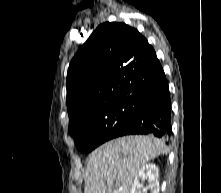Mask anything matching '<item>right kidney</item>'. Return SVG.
I'll return each instance as SVG.
<instances>
[{
    "label": "right kidney",
    "mask_w": 221,
    "mask_h": 193,
    "mask_svg": "<svg viewBox=\"0 0 221 193\" xmlns=\"http://www.w3.org/2000/svg\"><path fill=\"white\" fill-rule=\"evenodd\" d=\"M159 169L153 164L144 165L134 179L131 193H159ZM144 182L148 184L144 187Z\"/></svg>",
    "instance_id": "1"
}]
</instances>
